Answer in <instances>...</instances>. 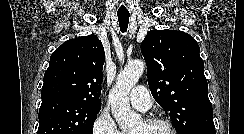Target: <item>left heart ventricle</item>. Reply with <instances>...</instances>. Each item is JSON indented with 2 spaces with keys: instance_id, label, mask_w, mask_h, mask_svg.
I'll list each match as a JSON object with an SVG mask.
<instances>
[{
  "instance_id": "1",
  "label": "left heart ventricle",
  "mask_w": 244,
  "mask_h": 134,
  "mask_svg": "<svg viewBox=\"0 0 244 134\" xmlns=\"http://www.w3.org/2000/svg\"><path fill=\"white\" fill-rule=\"evenodd\" d=\"M132 134H171L170 131L162 125L148 126L144 122L135 129Z\"/></svg>"
}]
</instances>
